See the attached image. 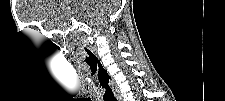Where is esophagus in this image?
Instances as JSON below:
<instances>
[{"label":"esophagus","instance_id":"1","mask_svg":"<svg viewBox=\"0 0 225 101\" xmlns=\"http://www.w3.org/2000/svg\"><path fill=\"white\" fill-rule=\"evenodd\" d=\"M117 100H118V101H122L121 96H117Z\"/></svg>","mask_w":225,"mask_h":101}]
</instances>
